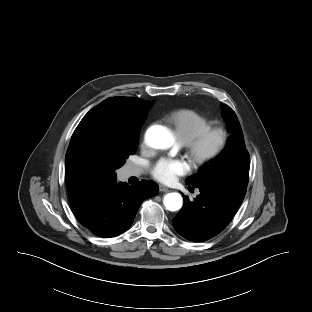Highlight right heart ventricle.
Here are the masks:
<instances>
[{
  "label": "right heart ventricle",
  "mask_w": 312,
  "mask_h": 312,
  "mask_svg": "<svg viewBox=\"0 0 312 312\" xmlns=\"http://www.w3.org/2000/svg\"><path fill=\"white\" fill-rule=\"evenodd\" d=\"M179 139L186 143L211 125V120L192 109H180L169 116Z\"/></svg>",
  "instance_id": "obj_1"
}]
</instances>
